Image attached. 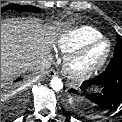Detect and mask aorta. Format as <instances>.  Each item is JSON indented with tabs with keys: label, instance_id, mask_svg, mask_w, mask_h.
Listing matches in <instances>:
<instances>
[{
	"label": "aorta",
	"instance_id": "762f6f07",
	"mask_svg": "<svg viewBox=\"0 0 122 122\" xmlns=\"http://www.w3.org/2000/svg\"><path fill=\"white\" fill-rule=\"evenodd\" d=\"M50 86L54 91L58 92L63 88V83L61 79L54 77L50 82Z\"/></svg>",
	"mask_w": 122,
	"mask_h": 122
}]
</instances>
